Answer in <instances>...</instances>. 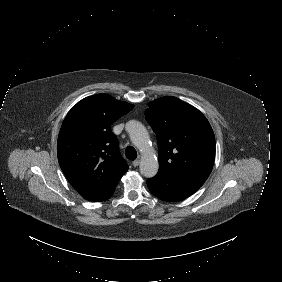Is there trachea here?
I'll list each match as a JSON object with an SVG mask.
<instances>
[{"label":"trachea","instance_id":"trachea-1","mask_svg":"<svg viewBox=\"0 0 282 282\" xmlns=\"http://www.w3.org/2000/svg\"><path fill=\"white\" fill-rule=\"evenodd\" d=\"M125 155L129 160H135L137 158V151L134 147L128 146L125 150Z\"/></svg>","mask_w":282,"mask_h":282}]
</instances>
